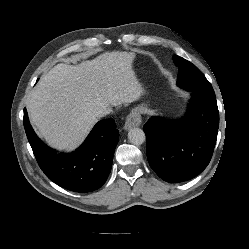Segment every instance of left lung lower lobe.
Wrapping results in <instances>:
<instances>
[{"mask_svg": "<svg viewBox=\"0 0 249 249\" xmlns=\"http://www.w3.org/2000/svg\"><path fill=\"white\" fill-rule=\"evenodd\" d=\"M219 112L215 93L195 91L179 121L152 117L144 125L147 158L163 180L178 183L200 174L216 144Z\"/></svg>", "mask_w": 249, "mask_h": 249, "instance_id": "obj_1", "label": "left lung lower lobe"}]
</instances>
